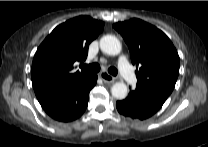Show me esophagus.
<instances>
[{
	"instance_id": "34e87169",
	"label": "esophagus",
	"mask_w": 208,
	"mask_h": 147,
	"mask_svg": "<svg viewBox=\"0 0 208 147\" xmlns=\"http://www.w3.org/2000/svg\"><path fill=\"white\" fill-rule=\"evenodd\" d=\"M101 79L106 83H114L116 81V78L108 74L107 72H101L99 74Z\"/></svg>"
}]
</instances>
